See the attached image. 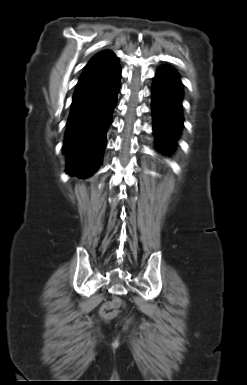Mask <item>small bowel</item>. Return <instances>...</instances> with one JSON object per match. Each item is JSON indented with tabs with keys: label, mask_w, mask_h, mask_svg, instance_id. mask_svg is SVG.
<instances>
[{
	"label": "small bowel",
	"mask_w": 247,
	"mask_h": 385,
	"mask_svg": "<svg viewBox=\"0 0 247 385\" xmlns=\"http://www.w3.org/2000/svg\"><path fill=\"white\" fill-rule=\"evenodd\" d=\"M122 305V300L117 296H113L110 300L103 302L99 309V314L106 321L113 320L119 316L118 309Z\"/></svg>",
	"instance_id": "c3829d8e"
}]
</instances>
